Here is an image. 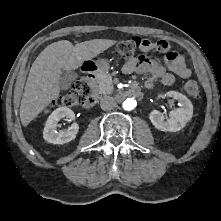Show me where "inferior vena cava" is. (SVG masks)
Returning <instances> with one entry per match:
<instances>
[{
	"mask_svg": "<svg viewBox=\"0 0 221 221\" xmlns=\"http://www.w3.org/2000/svg\"><path fill=\"white\" fill-rule=\"evenodd\" d=\"M100 106L102 110H111L117 106L113 97L104 96L101 98Z\"/></svg>",
	"mask_w": 221,
	"mask_h": 221,
	"instance_id": "602c4592",
	"label": "inferior vena cava"
}]
</instances>
